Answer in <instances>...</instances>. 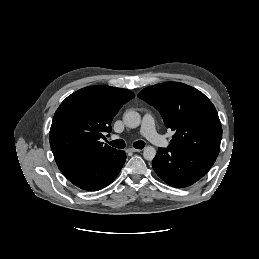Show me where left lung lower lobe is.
Masks as SVG:
<instances>
[{
	"instance_id": "1",
	"label": "left lung lower lobe",
	"mask_w": 259,
	"mask_h": 259,
	"mask_svg": "<svg viewBox=\"0 0 259 259\" xmlns=\"http://www.w3.org/2000/svg\"><path fill=\"white\" fill-rule=\"evenodd\" d=\"M217 156L208 152H179L170 147L158 148L152 166L167 184L187 187L210 170Z\"/></svg>"
}]
</instances>
